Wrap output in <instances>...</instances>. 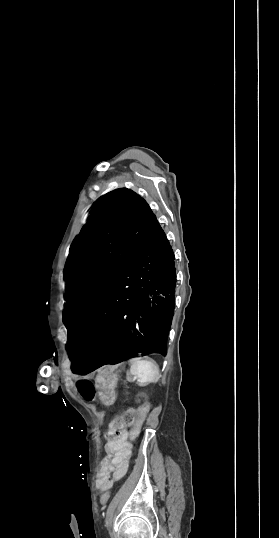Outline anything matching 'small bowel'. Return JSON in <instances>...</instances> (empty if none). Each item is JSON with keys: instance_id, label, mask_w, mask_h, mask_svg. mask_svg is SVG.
Segmentation results:
<instances>
[{"instance_id": "small-bowel-1", "label": "small bowel", "mask_w": 279, "mask_h": 538, "mask_svg": "<svg viewBox=\"0 0 279 538\" xmlns=\"http://www.w3.org/2000/svg\"><path fill=\"white\" fill-rule=\"evenodd\" d=\"M77 388L84 399L88 401L94 400L95 392L89 387L87 382L79 381ZM113 448L114 456L110 475L104 481H97V487L101 490L109 489L114 481L121 479L127 472L132 450V445L128 441L127 432H123L113 443Z\"/></svg>"}]
</instances>
